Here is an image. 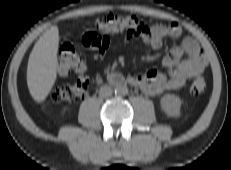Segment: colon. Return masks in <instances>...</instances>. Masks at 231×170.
Returning <instances> with one entry per match:
<instances>
[{
	"instance_id": "obj_1",
	"label": "colon",
	"mask_w": 231,
	"mask_h": 170,
	"mask_svg": "<svg viewBox=\"0 0 231 170\" xmlns=\"http://www.w3.org/2000/svg\"><path fill=\"white\" fill-rule=\"evenodd\" d=\"M145 25L133 15L109 13L95 21V28L99 32L127 35H140ZM58 71L61 75L75 73L77 79L69 84L54 89L50 97L55 102L75 103L83 99L88 91V79L85 76V63L76 49L69 44L63 45L58 57ZM206 89L204 77L198 76L191 84L190 91L194 95L203 93Z\"/></svg>"
}]
</instances>
